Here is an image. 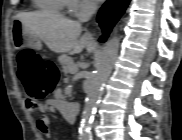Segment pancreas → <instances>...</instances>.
<instances>
[{"instance_id":"cf45deb5","label":"pancreas","mask_w":182,"mask_h":140,"mask_svg":"<svg viewBox=\"0 0 182 140\" xmlns=\"http://www.w3.org/2000/svg\"><path fill=\"white\" fill-rule=\"evenodd\" d=\"M59 62L62 65L64 73H71L74 68H77L73 59L67 55L60 57Z\"/></svg>"}]
</instances>
